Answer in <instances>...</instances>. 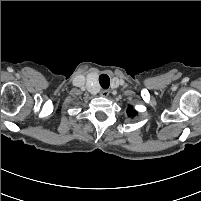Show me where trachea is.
Here are the masks:
<instances>
[{"mask_svg": "<svg viewBox=\"0 0 201 201\" xmlns=\"http://www.w3.org/2000/svg\"><path fill=\"white\" fill-rule=\"evenodd\" d=\"M99 83L103 89H107L110 85V78L106 74H101L99 76Z\"/></svg>", "mask_w": 201, "mask_h": 201, "instance_id": "1", "label": "trachea"}]
</instances>
